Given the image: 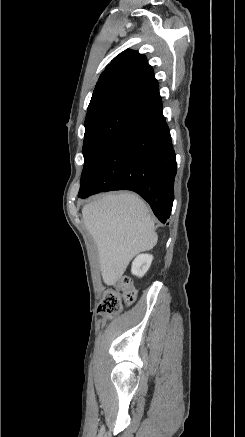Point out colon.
Listing matches in <instances>:
<instances>
[{
	"label": "colon",
	"mask_w": 245,
	"mask_h": 437,
	"mask_svg": "<svg viewBox=\"0 0 245 437\" xmlns=\"http://www.w3.org/2000/svg\"><path fill=\"white\" fill-rule=\"evenodd\" d=\"M136 299V290L128 277L119 279L115 288L107 291L99 304V312L108 317L117 315L122 304H132Z\"/></svg>",
	"instance_id": "5ec220e1"
}]
</instances>
